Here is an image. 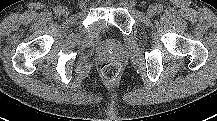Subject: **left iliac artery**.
<instances>
[{
    "instance_id": "1",
    "label": "left iliac artery",
    "mask_w": 217,
    "mask_h": 121,
    "mask_svg": "<svg viewBox=\"0 0 217 121\" xmlns=\"http://www.w3.org/2000/svg\"><path fill=\"white\" fill-rule=\"evenodd\" d=\"M163 10V6L161 4L156 5V11L161 12Z\"/></svg>"
}]
</instances>
